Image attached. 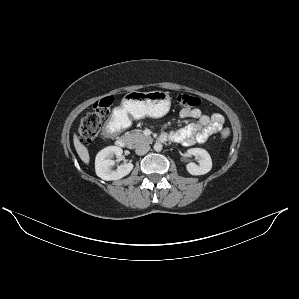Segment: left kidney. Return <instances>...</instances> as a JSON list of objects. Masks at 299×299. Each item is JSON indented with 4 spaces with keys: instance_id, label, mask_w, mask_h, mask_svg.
I'll use <instances>...</instances> for the list:
<instances>
[{
    "instance_id": "left-kidney-1",
    "label": "left kidney",
    "mask_w": 299,
    "mask_h": 299,
    "mask_svg": "<svg viewBox=\"0 0 299 299\" xmlns=\"http://www.w3.org/2000/svg\"><path fill=\"white\" fill-rule=\"evenodd\" d=\"M187 153L198 159V165L195 163H188L186 165V169L191 175H204L212 169L211 157L205 149L190 148L187 150Z\"/></svg>"
}]
</instances>
